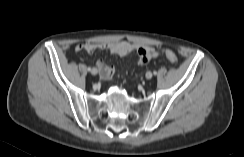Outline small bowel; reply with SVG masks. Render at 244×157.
<instances>
[{"instance_id":"small-bowel-1","label":"small bowel","mask_w":244,"mask_h":157,"mask_svg":"<svg viewBox=\"0 0 244 157\" xmlns=\"http://www.w3.org/2000/svg\"><path fill=\"white\" fill-rule=\"evenodd\" d=\"M75 50L76 52H87V53H92L95 50H104L119 56H126L132 52H137V53L145 52L148 55V61L151 58L157 57L159 54L152 47L143 46L140 44H133L127 41L101 42V43L87 42V43L77 45ZM137 63L144 64L138 61ZM96 66L98 68L100 76L105 80L110 79L115 73V68L113 66L106 65L102 59L96 61Z\"/></svg>"}]
</instances>
